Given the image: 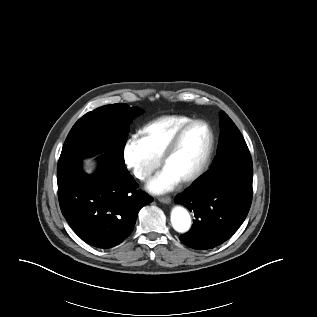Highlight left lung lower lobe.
Returning <instances> with one entry per match:
<instances>
[{"instance_id": "0a47b994", "label": "left lung lower lobe", "mask_w": 317, "mask_h": 317, "mask_svg": "<svg viewBox=\"0 0 317 317\" xmlns=\"http://www.w3.org/2000/svg\"><path fill=\"white\" fill-rule=\"evenodd\" d=\"M253 167L231 165L219 174L199 177L177 203L194 213L193 226L180 236L195 249H212L227 240L245 220L252 202Z\"/></svg>"}]
</instances>
